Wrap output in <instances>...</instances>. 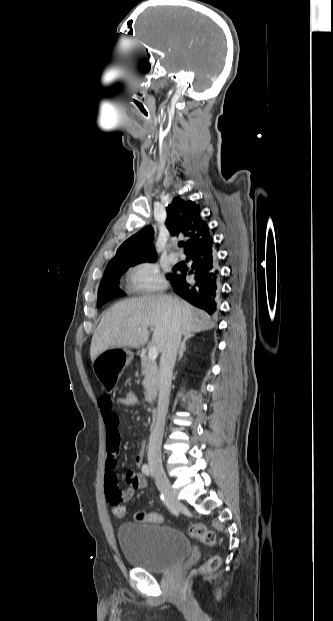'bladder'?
Returning <instances> with one entry per match:
<instances>
[{
  "mask_svg": "<svg viewBox=\"0 0 333 621\" xmlns=\"http://www.w3.org/2000/svg\"><path fill=\"white\" fill-rule=\"evenodd\" d=\"M117 539L130 565L153 573L171 570L190 552L182 532L158 523H124L117 531Z\"/></svg>",
  "mask_w": 333,
  "mask_h": 621,
  "instance_id": "obj_1",
  "label": "bladder"
}]
</instances>
